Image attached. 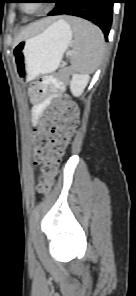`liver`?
<instances>
[{
  "instance_id": "1",
  "label": "liver",
  "mask_w": 136,
  "mask_h": 296,
  "mask_svg": "<svg viewBox=\"0 0 136 296\" xmlns=\"http://www.w3.org/2000/svg\"><path fill=\"white\" fill-rule=\"evenodd\" d=\"M51 19H44L39 22L32 23L21 30L16 41L25 39L31 35L38 33L44 26L50 23Z\"/></svg>"
}]
</instances>
